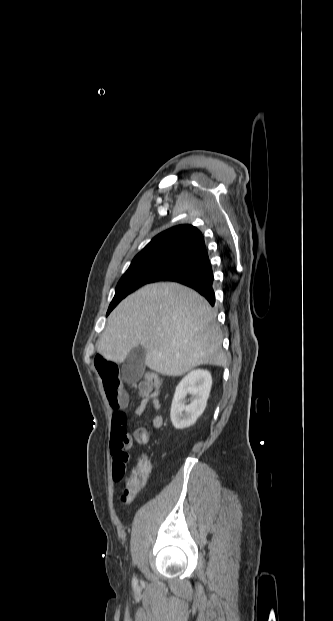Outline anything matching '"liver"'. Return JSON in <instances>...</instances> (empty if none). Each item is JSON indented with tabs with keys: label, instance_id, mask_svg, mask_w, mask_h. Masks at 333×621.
Listing matches in <instances>:
<instances>
[{
	"label": "liver",
	"instance_id": "liver-1",
	"mask_svg": "<svg viewBox=\"0 0 333 621\" xmlns=\"http://www.w3.org/2000/svg\"><path fill=\"white\" fill-rule=\"evenodd\" d=\"M141 345L145 363L162 375L181 376L208 364L225 366L222 334L209 303L177 283L147 285L110 314L98 353L121 363Z\"/></svg>",
	"mask_w": 333,
	"mask_h": 621
}]
</instances>
